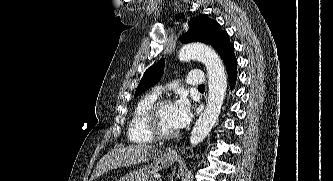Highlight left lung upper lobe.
<instances>
[{
    "instance_id": "obj_1",
    "label": "left lung upper lobe",
    "mask_w": 333,
    "mask_h": 181,
    "mask_svg": "<svg viewBox=\"0 0 333 181\" xmlns=\"http://www.w3.org/2000/svg\"><path fill=\"white\" fill-rule=\"evenodd\" d=\"M203 42L214 47L221 58L233 47L228 39L227 32L223 31L217 21L207 15H200L191 19L190 28L183 35L182 43ZM164 73V59L149 67L135 92V97L154 86Z\"/></svg>"
}]
</instances>
